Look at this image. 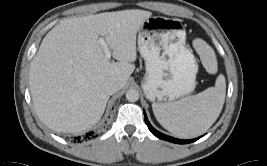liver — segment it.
Wrapping results in <instances>:
<instances>
[{
    "label": "liver",
    "instance_id": "obj_1",
    "mask_svg": "<svg viewBox=\"0 0 267 166\" xmlns=\"http://www.w3.org/2000/svg\"><path fill=\"white\" fill-rule=\"evenodd\" d=\"M151 16L130 9L73 17L47 33L29 80L35 111L50 129L79 133L100 120L110 96L106 83L125 87L135 70L137 32ZM99 36L118 62L106 58Z\"/></svg>",
    "mask_w": 267,
    "mask_h": 166
}]
</instances>
